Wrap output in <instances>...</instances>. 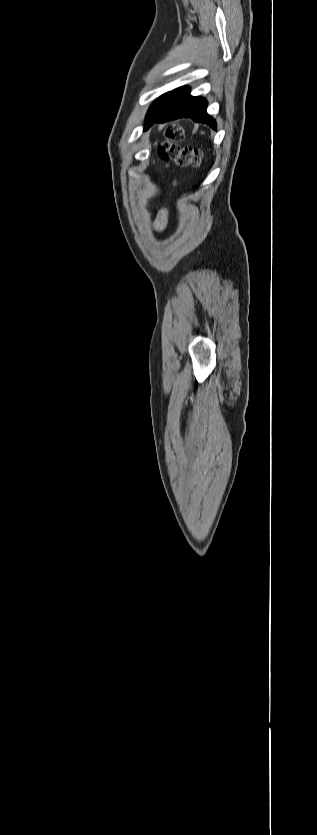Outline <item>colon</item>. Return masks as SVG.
Masks as SVG:
<instances>
[{
  "mask_svg": "<svg viewBox=\"0 0 317 835\" xmlns=\"http://www.w3.org/2000/svg\"><path fill=\"white\" fill-rule=\"evenodd\" d=\"M184 137L180 126H170L165 132V138L158 148V155L164 161H173L181 167H199L202 162V151L192 147H182L180 142Z\"/></svg>",
  "mask_w": 317,
  "mask_h": 835,
  "instance_id": "1",
  "label": "colon"
}]
</instances>
